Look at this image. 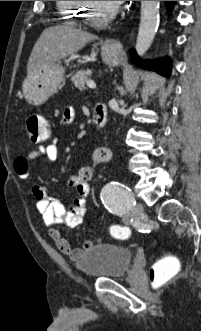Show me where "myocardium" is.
Listing matches in <instances>:
<instances>
[{
	"instance_id": "1",
	"label": "myocardium",
	"mask_w": 201,
	"mask_h": 331,
	"mask_svg": "<svg viewBox=\"0 0 201 331\" xmlns=\"http://www.w3.org/2000/svg\"><path fill=\"white\" fill-rule=\"evenodd\" d=\"M91 3H92L91 1H84V4L86 5V7L84 8L83 15H82V18L85 21V23H87L91 26H103L107 22L112 20L117 14L118 9L114 8L111 12L104 15L102 18L94 19L89 14Z\"/></svg>"
}]
</instances>
